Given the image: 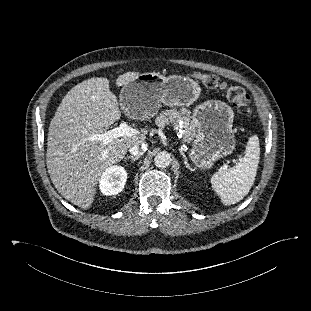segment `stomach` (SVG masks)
Wrapping results in <instances>:
<instances>
[{
    "label": "stomach",
    "instance_id": "0dacf381",
    "mask_svg": "<svg viewBox=\"0 0 311 311\" xmlns=\"http://www.w3.org/2000/svg\"><path fill=\"white\" fill-rule=\"evenodd\" d=\"M201 88L188 77H165L159 73H143L123 86L120 106L125 113L140 119L154 117L161 105L189 106L198 100ZM197 135L192 142L189 156L193 164L209 169L220 158L233 152L236 139L232 129L234 112L226 103L211 100L200 104L192 114Z\"/></svg>",
    "mask_w": 311,
    "mask_h": 311
}]
</instances>
